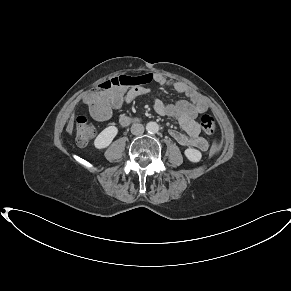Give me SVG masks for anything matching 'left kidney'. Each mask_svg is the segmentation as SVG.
<instances>
[{
    "instance_id": "obj_1",
    "label": "left kidney",
    "mask_w": 291,
    "mask_h": 291,
    "mask_svg": "<svg viewBox=\"0 0 291 291\" xmlns=\"http://www.w3.org/2000/svg\"><path fill=\"white\" fill-rule=\"evenodd\" d=\"M184 154L189 161L194 162V163L199 162L202 158L201 152L194 148H187L184 151Z\"/></svg>"
}]
</instances>
